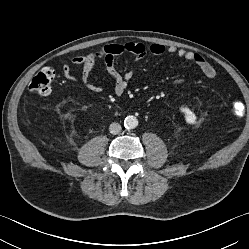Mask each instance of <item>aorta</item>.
Wrapping results in <instances>:
<instances>
[{"label": "aorta", "instance_id": "aorta-1", "mask_svg": "<svg viewBox=\"0 0 249 249\" xmlns=\"http://www.w3.org/2000/svg\"><path fill=\"white\" fill-rule=\"evenodd\" d=\"M138 125V119L131 115V116H127L124 120V126L127 129H134L136 128Z\"/></svg>", "mask_w": 249, "mask_h": 249}]
</instances>
